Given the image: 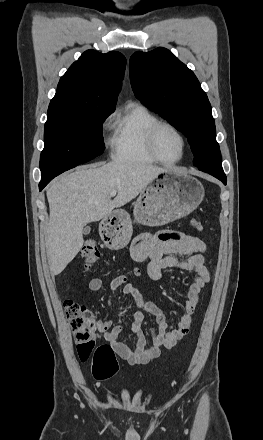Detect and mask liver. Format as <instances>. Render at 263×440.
<instances>
[{"label": "liver", "instance_id": "6515ba94", "mask_svg": "<svg viewBox=\"0 0 263 440\" xmlns=\"http://www.w3.org/2000/svg\"><path fill=\"white\" fill-rule=\"evenodd\" d=\"M168 169L139 162L113 161L81 167L54 180L47 189L49 223L45 237L50 272L60 274L83 246V228L136 198ZM116 191L112 200L110 192Z\"/></svg>", "mask_w": 263, "mask_h": 440}]
</instances>
